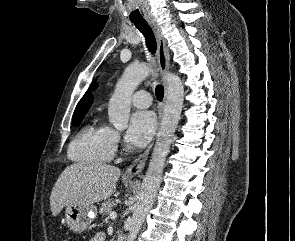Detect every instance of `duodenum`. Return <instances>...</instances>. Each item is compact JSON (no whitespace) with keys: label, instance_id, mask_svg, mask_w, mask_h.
<instances>
[{"label":"duodenum","instance_id":"obj_1","mask_svg":"<svg viewBox=\"0 0 295 241\" xmlns=\"http://www.w3.org/2000/svg\"><path fill=\"white\" fill-rule=\"evenodd\" d=\"M117 241H123V239L122 238H119Z\"/></svg>","mask_w":295,"mask_h":241}]
</instances>
